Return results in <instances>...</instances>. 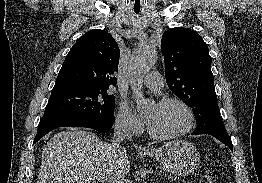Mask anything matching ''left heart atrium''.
I'll return each mask as SVG.
<instances>
[{
    "label": "left heart atrium",
    "mask_w": 262,
    "mask_h": 183,
    "mask_svg": "<svg viewBox=\"0 0 262 183\" xmlns=\"http://www.w3.org/2000/svg\"><path fill=\"white\" fill-rule=\"evenodd\" d=\"M149 120H150V119H149V117L147 116V117H146V121H147V123H149Z\"/></svg>",
    "instance_id": "obj_1"
}]
</instances>
